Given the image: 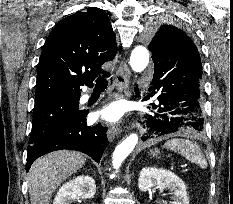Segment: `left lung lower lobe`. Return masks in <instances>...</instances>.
<instances>
[{"mask_svg": "<svg viewBox=\"0 0 233 204\" xmlns=\"http://www.w3.org/2000/svg\"><path fill=\"white\" fill-rule=\"evenodd\" d=\"M202 80L196 75L189 56L177 49H161L154 57L151 94L157 96L158 105L147 119L148 138L182 131L200 133L204 128L202 113Z\"/></svg>", "mask_w": 233, "mask_h": 204, "instance_id": "1", "label": "left lung lower lobe"}]
</instances>
